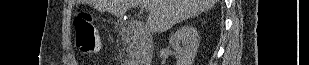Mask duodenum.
Listing matches in <instances>:
<instances>
[{"label": "duodenum", "mask_w": 309, "mask_h": 65, "mask_svg": "<svg viewBox=\"0 0 309 65\" xmlns=\"http://www.w3.org/2000/svg\"><path fill=\"white\" fill-rule=\"evenodd\" d=\"M127 32L131 39L139 44L142 59L139 65H151L152 39L148 29L138 23H130Z\"/></svg>", "instance_id": "duodenum-1"}]
</instances>
